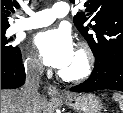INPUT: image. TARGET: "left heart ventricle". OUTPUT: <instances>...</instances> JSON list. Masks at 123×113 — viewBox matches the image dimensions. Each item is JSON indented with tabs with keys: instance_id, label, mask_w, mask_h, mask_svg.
I'll list each match as a JSON object with an SVG mask.
<instances>
[{
	"instance_id": "1",
	"label": "left heart ventricle",
	"mask_w": 123,
	"mask_h": 113,
	"mask_svg": "<svg viewBox=\"0 0 123 113\" xmlns=\"http://www.w3.org/2000/svg\"><path fill=\"white\" fill-rule=\"evenodd\" d=\"M80 67H81V60L75 54V56H74L73 60L71 61V63L67 67H65L63 69V71L67 72V73H73V72L77 71Z\"/></svg>"
}]
</instances>
